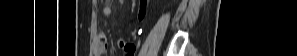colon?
<instances>
[{
	"label": "colon",
	"instance_id": "1",
	"mask_svg": "<svg viewBox=\"0 0 297 56\" xmlns=\"http://www.w3.org/2000/svg\"><path fill=\"white\" fill-rule=\"evenodd\" d=\"M146 5L147 1L146 0H141L140 1V8H139V16L143 17L145 12H146Z\"/></svg>",
	"mask_w": 297,
	"mask_h": 56
}]
</instances>
